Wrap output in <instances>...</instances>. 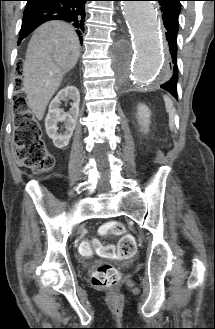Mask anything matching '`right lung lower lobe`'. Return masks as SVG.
I'll use <instances>...</instances> for the list:
<instances>
[{"instance_id":"1","label":"right lung lower lobe","mask_w":215,"mask_h":329,"mask_svg":"<svg viewBox=\"0 0 215 329\" xmlns=\"http://www.w3.org/2000/svg\"><path fill=\"white\" fill-rule=\"evenodd\" d=\"M19 41L46 21L64 20L77 28L82 43L85 22V3L89 0H26Z\"/></svg>"}]
</instances>
